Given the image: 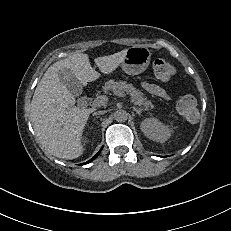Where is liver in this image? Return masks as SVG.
Listing matches in <instances>:
<instances>
[{"label":"liver","mask_w":231,"mask_h":231,"mask_svg":"<svg viewBox=\"0 0 231 231\" xmlns=\"http://www.w3.org/2000/svg\"><path fill=\"white\" fill-rule=\"evenodd\" d=\"M127 49L94 59L109 74L123 62ZM71 70L82 85L100 77L85 53H75L52 64L38 83L31 101V122L44 149L57 158L75 159L83 153L82 134L92 108L75 106L76 99L60 81L59 72Z\"/></svg>","instance_id":"1"}]
</instances>
